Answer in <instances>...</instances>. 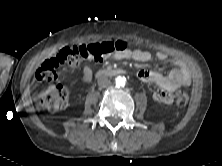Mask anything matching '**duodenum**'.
Returning a JSON list of instances; mask_svg holds the SVG:
<instances>
[{
	"instance_id": "duodenum-1",
	"label": "duodenum",
	"mask_w": 222,
	"mask_h": 166,
	"mask_svg": "<svg viewBox=\"0 0 222 166\" xmlns=\"http://www.w3.org/2000/svg\"><path fill=\"white\" fill-rule=\"evenodd\" d=\"M125 71L123 69L119 68H105L97 72L96 76L97 77H105V76H114V75H119L123 74Z\"/></svg>"
}]
</instances>
